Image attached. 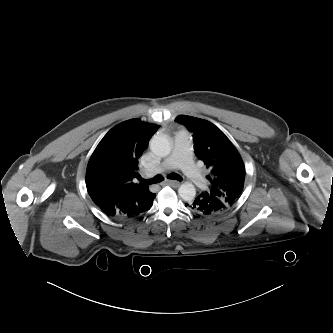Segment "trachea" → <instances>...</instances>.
Wrapping results in <instances>:
<instances>
[{
	"mask_svg": "<svg viewBox=\"0 0 333 333\" xmlns=\"http://www.w3.org/2000/svg\"><path fill=\"white\" fill-rule=\"evenodd\" d=\"M168 179L171 180H178V181H182V177L179 174L176 173H171L167 176ZM140 182L142 184H147V185H151V184H156V183H160L164 180V178L161 175H156L155 177H153L152 179L149 180H144L142 178H139Z\"/></svg>",
	"mask_w": 333,
	"mask_h": 333,
	"instance_id": "3493384b",
	"label": "trachea"
}]
</instances>
